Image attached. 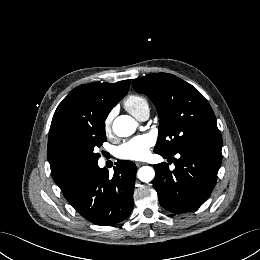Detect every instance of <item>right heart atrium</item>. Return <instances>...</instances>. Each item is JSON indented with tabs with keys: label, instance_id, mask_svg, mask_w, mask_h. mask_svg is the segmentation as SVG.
Instances as JSON below:
<instances>
[{
	"label": "right heart atrium",
	"instance_id": "obj_1",
	"mask_svg": "<svg viewBox=\"0 0 260 260\" xmlns=\"http://www.w3.org/2000/svg\"><path fill=\"white\" fill-rule=\"evenodd\" d=\"M112 119H113V111H111L106 119H105V128H106V131H109L110 128H111V123H112Z\"/></svg>",
	"mask_w": 260,
	"mask_h": 260
}]
</instances>
